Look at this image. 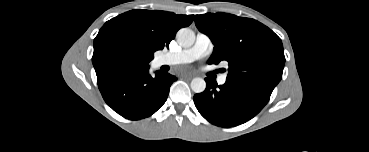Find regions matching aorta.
Listing matches in <instances>:
<instances>
[{"mask_svg":"<svg viewBox=\"0 0 369 152\" xmlns=\"http://www.w3.org/2000/svg\"><path fill=\"white\" fill-rule=\"evenodd\" d=\"M176 38L182 47L189 48L195 42V33L189 28H182L177 32ZM190 87L193 92L201 93L206 88V82L204 79L196 77L192 79Z\"/></svg>","mask_w":369,"mask_h":152,"instance_id":"1","label":"aorta"}]
</instances>
